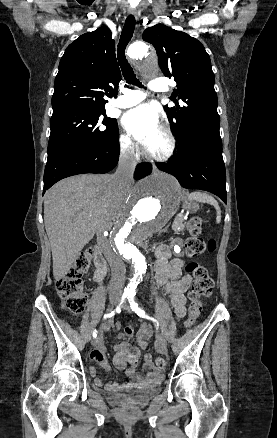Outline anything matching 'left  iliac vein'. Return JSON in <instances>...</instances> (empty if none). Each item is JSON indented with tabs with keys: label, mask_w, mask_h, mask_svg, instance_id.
Wrapping results in <instances>:
<instances>
[{
	"label": "left iliac vein",
	"mask_w": 277,
	"mask_h": 438,
	"mask_svg": "<svg viewBox=\"0 0 277 438\" xmlns=\"http://www.w3.org/2000/svg\"><path fill=\"white\" fill-rule=\"evenodd\" d=\"M123 308H124L125 310H127L128 312H131V309H130V307L128 306L127 303H124ZM159 340H160L161 345H162L163 347H165V346H166V338H165V336H164L163 333H161V334L159 335Z\"/></svg>",
	"instance_id": "left-iliac-vein-1"
}]
</instances>
